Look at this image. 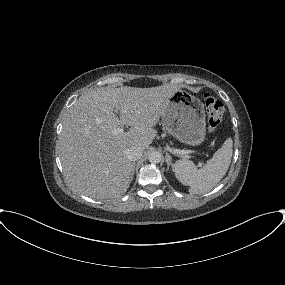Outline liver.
I'll return each instance as SVG.
<instances>
[{"label": "liver", "instance_id": "1", "mask_svg": "<svg viewBox=\"0 0 285 285\" xmlns=\"http://www.w3.org/2000/svg\"><path fill=\"white\" fill-rule=\"evenodd\" d=\"M178 90L172 84L122 86L80 96L64 118L59 139V157L68 182L91 198L121 197L131 182L133 163L127 149L149 147L157 134L154 126ZM114 109L120 111L119 117ZM124 125L130 126L127 132L113 133Z\"/></svg>", "mask_w": 285, "mask_h": 285}]
</instances>
